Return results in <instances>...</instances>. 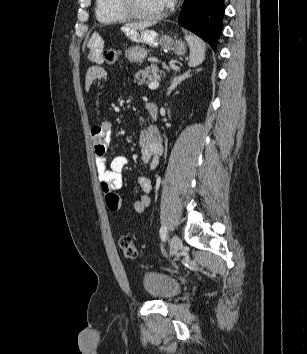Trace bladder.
<instances>
[{"instance_id": "obj_1", "label": "bladder", "mask_w": 307, "mask_h": 354, "mask_svg": "<svg viewBox=\"0 0 307 354\" xmlns=\"http://www.w3.org/2000/svg\"><path fill=\"white\" fill-rule=\"evenodd\" d=\"M142 287L148 296L163 301L173 299L181 291V284L177 279L156 270L143 275Z\"/></svg>"}]
</instances>
